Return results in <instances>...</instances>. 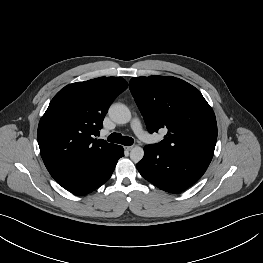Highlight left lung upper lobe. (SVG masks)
<instances>
[{
  "label": "left lung upper lobe",
  "mask_w": 263,
  "mask_h": 263,
  "mask_svg": "<svg viewBox=\"0 0 263 263\" xmlns=\"http://www.w3.org/2000/svg\"><path fill=\"white\" fill-rule=\"evenodd\" d=\"M129 89L149 132L168 129L155 147L210 164L217 140L216 118L194 86L171 76H149L132 78Z\"/></svg>",
  "instance_id": "5c2ea615"
}]
</instances>
